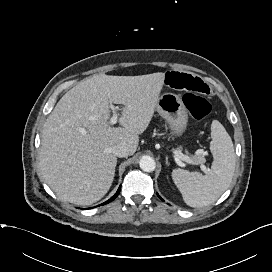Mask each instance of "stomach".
Segmentation results:
<instances>
[{
	"mask_svg": "<svg viewBox=\"0 0 272 272\" xmlns=\"http://www.w3.org/2000/svg\"><path fill=\"white\" fill-rule=\"evenodd\" d=\"M156 110L169 124L175 136L182 135L187 126L188 112L179 95L173 93L161 95Z\"/></svg>",
	"mask_w": 272,
	"mask_h": 272,
	"instance_id": "obj_1",
	"label": "stomach"
}]
</instances>
